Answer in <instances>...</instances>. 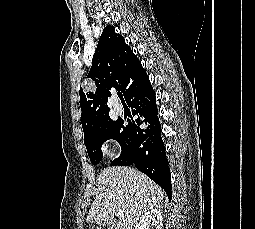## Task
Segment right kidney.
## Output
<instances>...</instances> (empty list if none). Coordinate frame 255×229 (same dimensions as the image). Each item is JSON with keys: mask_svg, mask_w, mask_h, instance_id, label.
<instances>
[{"mask_svg": "<svg viewBox=\"0 0 255 229\" xmlns=\"http://www.w3.org/2000/svg\"><path fill=\"white\" fill-rule=\"evenodd\" d=\"M151 221L155 229H162L163 217L162 210L160 208L152 209L146 212L144 215H142L139 222L136 224L135 229H148L149 228L148 225L150 224Z\"/></svg>", "mask_w": 255, "mask_h": 229, "instance_id": "right-kidney-1", "label": "right kidney"}]
</instances>
